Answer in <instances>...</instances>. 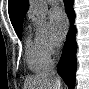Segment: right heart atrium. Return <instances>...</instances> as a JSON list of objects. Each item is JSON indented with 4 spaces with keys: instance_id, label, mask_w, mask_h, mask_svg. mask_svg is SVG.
<instances>
[{
    "instance_id": "d8ad5b80",
    "label": "right heart atrium",
    "mask_w": 89,
    "mask_h": 89,
    "mask_svg": "<svg viewBox=\"0 0 89 89\" xmlns=\"http://www.w3.org/2000/svg\"><path fill=\"white\" fill-rule=\"evenodd\" d=\"M35 41L42 56L51 60L57 50L58 41L49 25L44 21H35Z\"/></svg>"
}]
</instances>
